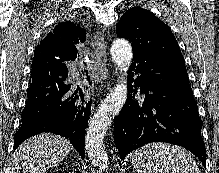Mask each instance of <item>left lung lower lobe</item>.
<instances>
[{"label": "left lung lower lobe", "mask_w": 219, "mask_h": 173, "mask_svg": "<svg viewBox=\"0 0 219 173\" xmlns=\"http://www.w3.org/2000/svg\"><path fill=\"white\" fill-rule=\"evenodd\" d=\"M128 73L129 97L114 123L120 158L149 142H167L191 151L206 166L202 120L185 65L134 54ZM137 86L144 100L135 99Z\"/></svg>", "instance_id": "left-lung-lower-lobe-1"}]
</instances>
